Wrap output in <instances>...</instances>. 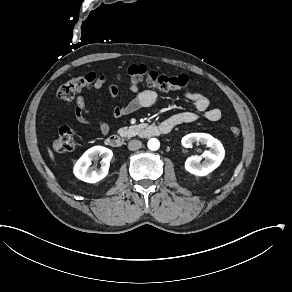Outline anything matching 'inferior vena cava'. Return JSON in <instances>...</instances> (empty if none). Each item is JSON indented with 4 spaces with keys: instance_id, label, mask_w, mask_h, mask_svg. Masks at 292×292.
<instances>
[{
    "instance_id": "602c4592",
    "label": "inferior vena cava",
    "mask_w": 292,
    "mask_h": 292,
    "mask_svg": "<svg viewBox=\"0 0 292 292\" xmlns=\"http://www.w3.org/2000/svg\"><path fill=\"white\" fill-rule=\"evenodd\" d=\"M141 146H142V143L139 140H131L128 143V149L131 151H136V150L140 149Z\"/></svg>"
}]
</instances>
